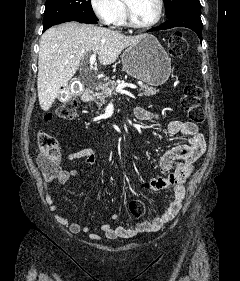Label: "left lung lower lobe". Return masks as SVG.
I'll return each instance as SVG.
<instances>
[{
    "instance_id": "0a47b994",
    "label": "left lung lower lobe",
    "mask_w": 240,
    "mask_h": 281,
    "mask_svg": "<svg viewBox=\"0 0 240 281\" xmlns=\"http://www.w3.org/2000/svg\"><path fill=\"white\" fill-rule=\"evenodd\" d=\"M173 27H186L193 30L202 41V28L203 24L200 18V12L195 11H184L174 15L169 18L168 21L160 25L159 27H154L147 32L156 30H165Z\"/></svg>"
}]
</instances>
